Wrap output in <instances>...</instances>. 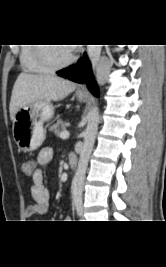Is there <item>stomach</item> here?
Instances as JSON below:
<instances>
[{
    "label": "stomach",
    "instance_id": "0dacf381",
    "mask_svg": "<svg viewBox=\"0 0 166 267\" xmlns=\"http://www.w3.org/2000/svg\"><path fill=\"white\" fill-rule=\"evenodd\" d=\"M80 101L83 93H76ZM54 115V106L50 101L39 100L21 108L13 120L12 132L18 147L24 152L38 149L44 141V122Z\"/></svg>",
    "mask_w": 166,
    "mask_h": 267
}]
</instances>
